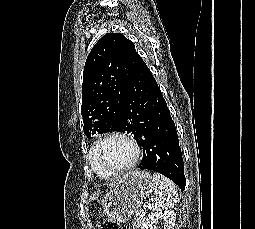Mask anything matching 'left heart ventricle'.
Wrapping results in <instances>:
<instances>
[{"label": "left heart ventricle", "mask_w": 255, "mask_h": 229, "mask_svg": "<svg viewBox=\"0 0 255 229\" xmlns=\"http://www.w3.org/2000/svg\"><path fill=\"white\" fill-rule=\"evenodd\" d=\"M133 155L134 152L130 144L118 137L107 139L97 150V159L109 169L127 165L132 160Z\"/></svg>", "instance_id": "obj_1"}]
</instances>
